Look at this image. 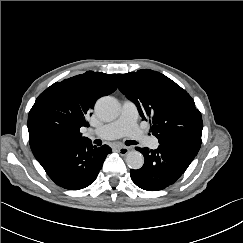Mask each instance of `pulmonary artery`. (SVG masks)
<instances>
[{
  "mask_svg": "<svg viewBox=\"0 0 243 243\" xmlns=\"http://www.w3.org/2000/svg\"><path fill=\"white\" fill-rule=\"evenodd\" d=\"M137 118L138 110L136 105L126 100L122 104L118 119L92 130L90 135L101 139H115L126 135L137 141L144 140L149 148L156 149L159 145L158 139L156 137L146 138L137 125Z\"/></svg>",
  "mask_w": 243,
  "mask_h": 243,
  "instance_id": "1",
  "label": "pulmonary artery"
}]
</instances>
